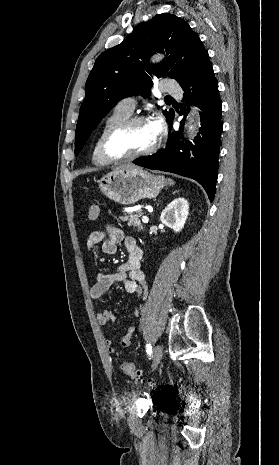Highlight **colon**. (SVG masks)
<instances>
[{
  "mask_svg": "<svg viewBox=\"0 0 279 465\" xmlns=\"http://www.w3.org/2000/svg\"><path fill=\"white\" fill-rule=\"evenodd\" d=\"M101 215V206L98 203H91L89 205V218L91 220H96ZM122 371L125 375L138 379L141 376V372L136 369L135 365L132 362L125 361L121 365Z\"/></svg>",
  "mask_w": 279,
  "mask_h": 465,
  "instance_id": "5ec220e1",
  "label": "colon"
}]
</instances>
